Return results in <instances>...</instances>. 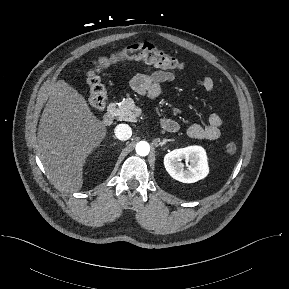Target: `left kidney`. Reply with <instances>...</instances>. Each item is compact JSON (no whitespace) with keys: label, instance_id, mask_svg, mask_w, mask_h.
<instances>
[{"label":"left kidney","instance_id":"1","mask_svg":"<svg viewBox=\"0 0 289 289\" xmlns=\"http://www.w3.org/2000/svg\"><path fill=\"white\" fill-rule=\"evenodd\" d=\"M183 160L187 164L186 168L181 162ZM164 166L172 178L183 183L197 182L205 178L209 172L206 152L200 146H189L167 153Z\"/></svg>","mask_w":289,"mask_h":289}]
</instances>
